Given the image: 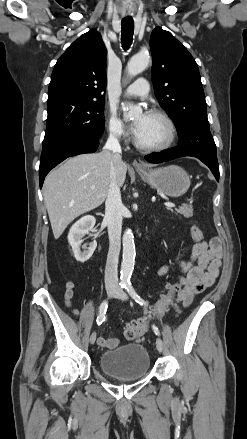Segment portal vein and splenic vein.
I'll return each instance as SVG.
<instances>
[{"label":"portal vein and splenic vein","mask_w":247,"mask_h":439,"mask_svg":"<svg viewBox=\"0 0 247 439\" xmlns=\"http://www.w3.org/2000/svg\"><path fill=\"white\" fill-rule=\"evenodd\" d=\"M91 188L94 189L95 187L92 186ZM164 205H165L166 207H175V204L172 203V202H165Z\"/></svg>","instance_id":"18ae733b"}]
</instances>
